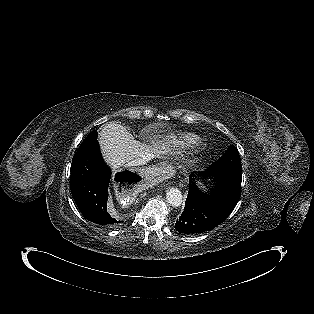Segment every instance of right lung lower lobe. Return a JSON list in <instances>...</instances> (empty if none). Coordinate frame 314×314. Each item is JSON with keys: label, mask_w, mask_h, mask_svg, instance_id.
Listing matches in <instances>:
<instances>
[{"label": "right lung lower lobe", "mask_w": 314, "mask_h": 314, "mask_svg": "<svg viewBox=\"0 0 314 314\" xmlns=\"http://www.w3.org/2000/svg\"><path fill=\"white\" fill-rule=\"evenodd\" d=\"M110 177L111 170L103 161L97 141L75 153L70 175L72 196L87 220L108 228L121 223L107 211ZM139 178L133 172L123 171L116 174L115 181L119 185H128L137 182Z\"/></svg>", "instance_id": "1"}]
</instances>
